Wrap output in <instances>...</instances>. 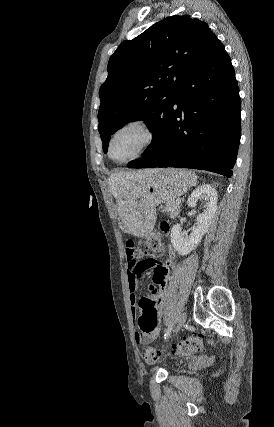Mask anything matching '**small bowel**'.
I'll use <instances>...</instances> for the list:
<instances>
[{
  "mask_svg": "<svg viewBox=\"0 0 274 427\" xmlns=\"http://www.w3.org/2000/svg\"><path fill=\"white\" fill-rule=\"evenodd\" d=\"M124 250L130 253L133 247L127 244ZM125 258L130 262H134L138 257L136 254L130 253ZM174 260V252L169 251L165 260L159 264H129L127 266L129 299L133 314L136 311L137 305V283L141 278H150V285L146 288L147 293H140L138 295L139 308L150 310L139 311L138 313L135 323L142 330V334L136 333L135 335V340L138 344H145L155 339L163 331L164 301L168 292L167 273L168 267L173 264Z\"/></svg>",
  "mask_w": 274,
  "mask_h": 427,
  "instance_id": "obj_1",
  "label": "small bowel"
}]
</instances>
